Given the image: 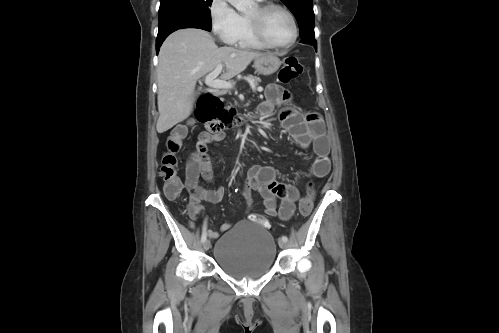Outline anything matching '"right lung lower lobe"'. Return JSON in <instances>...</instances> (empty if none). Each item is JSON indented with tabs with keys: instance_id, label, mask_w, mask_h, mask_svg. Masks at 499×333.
Returning <instances> with one entry per match:
<instances>
[{
	"instance_id": "98d812e1",
	"label": "right lung lower lobe",
	"mask_w": 499,
	"mask_h": 333,
	"mask_svg": "<svg viewBox=\"0 0 499 333\" xmlns=\"http://www.w3.org/2000/svg\"><path fill=\"white\" fill-rule=\"evenodd\" d=\"M196 28L204 29L206 31H211V29H207V28H204V27H196ZM174 31H176V30H172V31H169V32H166V33H163V34H160V35L157 36V39H156V52H157V54L159 52L160 46L162 45L163 41L166 39V37L169 34H171Z\"/></svg>"
}]
</instances>
